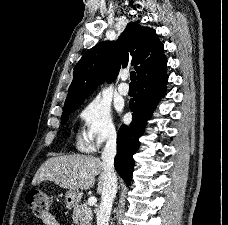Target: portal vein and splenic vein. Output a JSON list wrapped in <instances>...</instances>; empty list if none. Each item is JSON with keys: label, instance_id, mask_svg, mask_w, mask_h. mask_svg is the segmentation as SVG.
<instances>
[{"label": "portal vein and splenic vein", "instance_id": "1", "mask_svg": "<svg viewBox=\"0 0 228 225\" xmlns=\"http://www.w3.org/2000/svg\"><path fill=\"white\" fill-rule=\"evenodd\" d=\"M96 203H97L96 197H90V199H88L87 205H89V207H93V205H96Z\"/></svg>", "mask_w": 228, "mask_h": 225}]
</instances>
